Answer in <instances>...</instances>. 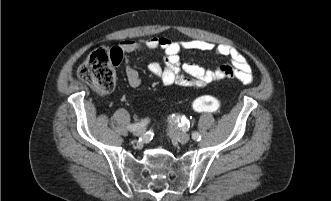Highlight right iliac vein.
I'll return each mask as SVG.
<instances>
[{
	"mask_svg": "<svg viewBox=\"0 0 331 201\" xmlns=\"http://www.w3.org/2000/svg\"><path fill=\"white\" fill-rule=\"evenodd\" d=\"M144 132H145V128L142 126H139L133 131V134L136 136H139V135H142Z\"/></svg>",
	"mask_w": 331,
	"mask_h": 201,
	"instance_id": "1",
	"label": "right iliac vein"
}]
</instances>
